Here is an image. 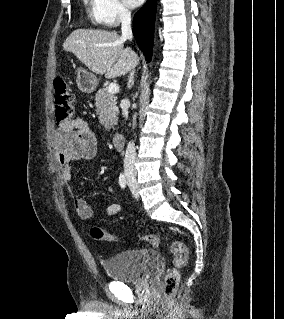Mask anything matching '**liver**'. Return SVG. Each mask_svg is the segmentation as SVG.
I'll use <instances>...</instances> for the list:
<instances>
[{"label": "liver", "instance_id": "6515ba94", "mask_svg": "<svg viewBox=\"0 0 284 319\" xmlns=\"http://www.w3.org/2000/svg\"><path fill=\"white\" fill-rule=\"evenodd\" d=\"M124 41L116 32L76 29L65 40L63 49L92 72L110 79L125 75L138 63V56L124 49Z\"/></svg>", "mask_w": 284, "mask_h": 319}]
</instances>
